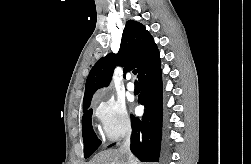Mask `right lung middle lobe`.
<instances>
[{"label":"right lung middle lobe","instance_id":"right-lung-middle-lobe-1","mask_svg":"<svg viewBox=\"0 0 251 164\" xmlns=\"http://www.w3.org/2000/svg\"><path fill=\"white\" fill-rule=\"evenodd\" d=\"M90 105L84 106V115L82 117V133L84 141V156L88 158L99 147L101 141L97 138L92 127V109H88Z\"/></svg>","mask_w":251,"mask_h":164}]
</instances>
